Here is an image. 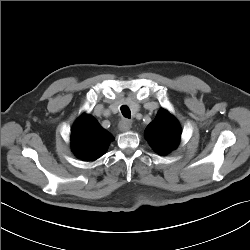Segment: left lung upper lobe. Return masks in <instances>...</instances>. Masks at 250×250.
Returning a JSON list of instances; mask_svg holds the SVG:
<instances>
[{"instance_id": "obj_1", "label": "left lung upper lobe", "mask_w": 250, "mask_h": 250, "mask_svg": "<svg viewBox=\"0 0 250 250\" xmlns=\"http://www.w3.org/2000/svg\"><path fill=\"white\" fill-rule=\"evenodd\" d=\"M181 136L176 119L165 109H161L155 120L145 130V137L151 147L159 154L166 155L175 149Z\"/></svg>"}]
</instances>
